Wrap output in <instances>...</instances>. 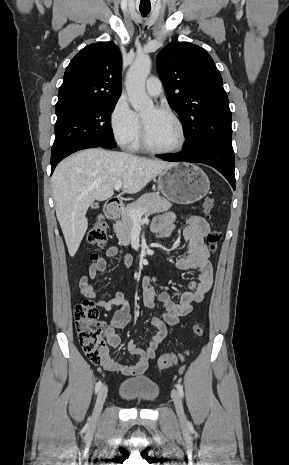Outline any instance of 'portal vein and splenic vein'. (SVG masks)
Masks as SVG:
<instances>
[{
	"label": "portal vein and splenic vein",
	"mask_w": 289,
	"mask_h": 465,
	"mask_svg": "<svg viewBox=\"0 0 289 465\" xmlns=\"http://www.w3.org/2000/svg\"><path fill=\"white\" fill-rule=\"evenodd\" d=\"M121 187H122V182L120 181L114 185V189L116 191H119ZM143 215H144V212L142 211H137V210L130 211V217L134 222H140Z\"/></svg>",
	"instance_id": "1"
}]
</instances>
